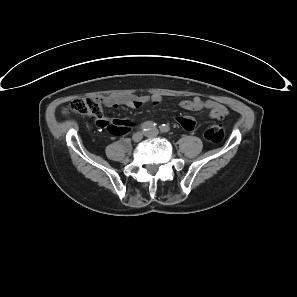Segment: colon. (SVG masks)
Segmentation results:
<instances>
[{
  "instance_id": "1",
  "label": "colon",
  "mask_w": 297,
  "mask_h": 297,
  "mask_svg": "<svg viewBox=\"0 0 297 297\" xmlns=\"http://www.w3.org/2000/svg\"><path fill=\"white\" fill-rule=\"evenodd\" d=\"M72 111L81 115L93 117L95 119L103 118V102L100 98H79L70 102L67 109L63 113ZM205 138L213 143L220 142L224 137V129L222 125H212L204 133Z\"/></svg>"
}]
</instances>
